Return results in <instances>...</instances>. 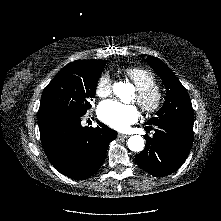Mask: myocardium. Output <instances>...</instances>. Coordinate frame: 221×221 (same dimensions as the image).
Segmentation results:
<instances>
[{
  "mask_svg": "<svg viewBox=\"0 0 221 221\" xmlns=\"http://www.w3.org/2000/svg\"><path fill=\"white\" fill-rule=\"evenodd\" d=\"M165 95L157 85L144 90H137L136 101L146 114H156L164 104Z\"/></svg>",
  "mask_w": 221,
  "mask_h": 221,
  "instance_id": "f54148a6",
  "label": "myocardium"
}]
</instances>
